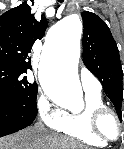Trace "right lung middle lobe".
<instances>
[{"mask_svg": "<svg viewBox=\"0 0 124 149\" xmlns=\"http://www.w3.org/2000/svg\"><path fill=\"white\" fill-rule=\"evenodd\" d=\"M26 72L15 68L0 66V89L23 97L30 105H36L38 86L36 83L30 84Z\"/></svg>", "mask_w": 124, "mask_h": 149, "instance_id": "right-lung-middle-lobe-1", "label": "right lung middle lobe"}]
</instances>
